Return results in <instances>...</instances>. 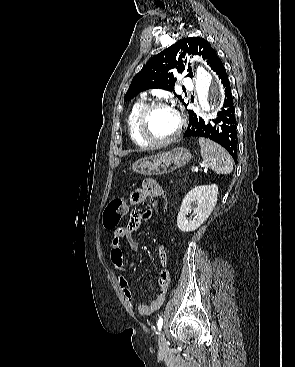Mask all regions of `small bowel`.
<instances>
[{
    "instance_id": "c3829d8e",
    "label": "small bowel",
    "mask_w": 295,
    "mask_h": 367,
    "mask_svg": "<svg viewBox=\"0 0 295 367\" xmlns=\"http://www.w3.org/2000/svg\"><path fill=\"white\" fill-rule=\"evenodd\" d=\"M164 196L162 187L152 179H147L143 182L142 186L134 190L131 194V202L134 205L143 203L146 199H151L155 210L154 214H157L160 207V200ZM130 217L125 226L116 228L113 232V238L111 242L110 259L113 266L119 271H127L134 265L133 259L125 258L122 250L123 241L128 245L129 250L135 253L138 249V242L134 238V232L141 225V216L138 208H130ZM158 261L161 265V270L158 279V293L156 298L148 304H142L137 306V310L141 315L149 316L157 311L165 300V296L170 284V272L168 270V255L165 248L159 244L157 247ZM118 283L123 291L126 300L129 303L134 301L132 292L129 289L128 281L124 276L118 278Z\"/></svg>"
}]
</instances>
